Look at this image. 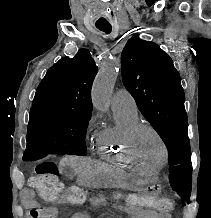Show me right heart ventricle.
I'll return each mask as SVG.
<instances>
[{"label": "right heart ventricle", "mask_w": 211, "mask_h": 218, "mask_svg": "<svg viewBox=\"0 0 211 218\" xmlns=\"http://www.w3.org/2000/svg\"><path fill=\"white\" fill-rule=\"evenodd\" d=\"M116 124L103 129L97 136L93 154L104 157L109 165H121V169H136L127 148V133L139 122L138 112L123 108H114Z\"/></svg>", "instance_id": "1"}]
</instances>
